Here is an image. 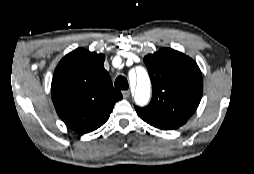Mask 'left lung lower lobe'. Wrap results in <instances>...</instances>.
<instances>
[{
  "instance_id": "0a47b994",
  "label": "left lung lower lobe",
  "mask_w": 254,
  "mask_h": 174,
  "mask_svg": "<svg viewBox=\"0 0 254 174\" xmlns=\"http://www.w3.org/2000/svg\"><path fill=\"white\" fill-rule=\"evenodd\" d=\"M136 112L145 122L163 130L177 129L178 127L186 123V120L171 119L168 117L154 114L152 112H143L138 110H136Z\"/></svg>"
}]
</instances>
